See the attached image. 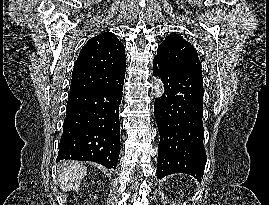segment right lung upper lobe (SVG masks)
<instances>
[{
	"label": "right lung upper lobe",
	"mask_w": 269,
	"mask_h": 205,
	"mask_svg": "<svg viewBox=\"0 0 269 205\" xmlns=\"http://www.w3.org/2000/svg\"><path fill=\"white\" fill-rule=\"evenodd\" d=\"M125 47L111 32L91 38L75 62L70 93L108 87L125 76Z\"/></svg>",
	"instance_id": "1"
}]
</instances>
